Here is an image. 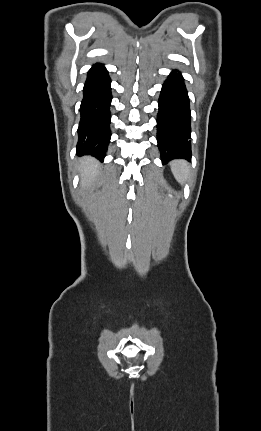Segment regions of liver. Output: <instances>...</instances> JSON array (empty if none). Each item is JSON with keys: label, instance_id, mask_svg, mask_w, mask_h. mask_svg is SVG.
<instances>
[{"label": "liver", "instance_id": "liver-1", "mask_svg": "<svg viewBox=\"0 0 261 431\" xmlns=\"http://www.w3.org/2000/svg\"><path fill=\"white\" fill-rule=\"evenodd\" d=\"M80 170L82 186L88 189L96 182L99 173L98 163L95 159L85 158L81 162Z\"/></svg>", "mask_w": 261, "mask_h": 431}]
</instances>
